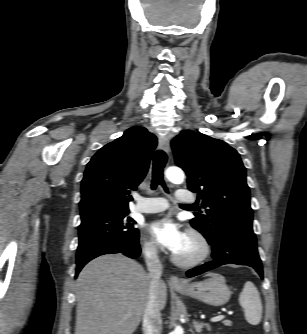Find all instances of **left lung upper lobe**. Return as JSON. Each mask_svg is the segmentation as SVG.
<instances>
[{"label":"left lung upper lobe","instance_id":"left-lung-upper-lobe-1","mask_svg":"<svg viewBox=\"0 0 307 334\" xmlns=\"http://www.w3.org/2000/svg\"><path fill=\"white\" fill-rule=\"evenodd\" d=\"M175 163L188 176V188L202 197L206 215L190 222L205 237L218 224H251L253 212L246 169L238 152L222 140L199 132L182 131L172 141Z\"/></svg>","mask_w":307,"mask_h":334}]
</instances>
